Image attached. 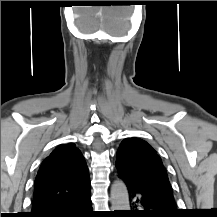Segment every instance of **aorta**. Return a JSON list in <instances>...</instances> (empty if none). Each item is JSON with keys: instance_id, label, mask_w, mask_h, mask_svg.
<instances>
[{"instance_id": "aorta-1", "label": "aorta", "mask_w": 217, "mask_h": 217, "mask_svg": "<svg viewBox=\"0 0 217 217\" xmlns=\"http://www.w3.org/2000/svg\"><path fill=\"white\" fill-rule=\"evenodd\" d=\"M111 203L113 211L130 210L128 190L122 180H116L111 186Z\"/></svg>"}]
</instances>
